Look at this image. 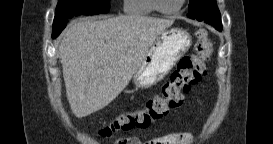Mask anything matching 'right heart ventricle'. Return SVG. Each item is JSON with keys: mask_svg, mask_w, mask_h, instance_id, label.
Wrapping results in <instances>:
<instances>
[{"mask_svg": "<svg viewBox=\"0 0 273 144\" xmlns=\"http://www.w3.org/2000/svg\"><path fill=\"white\" fill-rule=\"evenodd\" d=\"M124 10L132 16H149L154 12L152 0H127Z\"/></svg>", "mask_w": 273, "mask_h": 144, "instance_id": "e07e8e85", "label": "right heart ventricle"}]
</instances>
